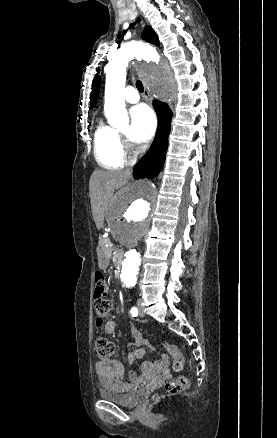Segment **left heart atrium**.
<instances>
[{"mask_svg":"<svg viewBox=\"0 0 277 438\" xmlns=\"http://www.w3.org/2000/svg\"><path fill=\"white\" fill-rule=\"evenodd\" d=\"M133 128L131 138L137 144L147 143L154 135L156 118L150 107L139 105L131 109Z\"/></svg>","mask_w":277,"mask_h":438,"instance_id":"1","label":"left heart atrium"}]
</instances>
